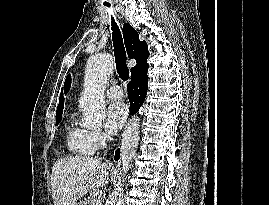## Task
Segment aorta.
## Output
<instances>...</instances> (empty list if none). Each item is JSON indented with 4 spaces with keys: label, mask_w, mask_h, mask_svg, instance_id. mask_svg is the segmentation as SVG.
Instances as JSON below:
<instances>
[{
    "label": "aorta",
    "mask_w": 269,
    "mask_h": 205,
    "mask_svg": "<svg viewBox=\"0 0 269 205\" xmlns=\"http://www.w3.org/2000/svg\"><path fill=\"white\" fill-rule=\"evenodd\" d=\"M114 60L109 54L91 56L87 62L84 78V91L79 100V107L88 128L99 127L106 118L104 103V89L110 74L113 71ZM138 118H132L124 130L121 143L122 173L125 175L136 154L139 143ZM124 182V180L122 181ZM121 181L115 185L110 194L108 205H122L124 184Z\"/></svg>",
    "instance_id": "aorta-1"
}]
</instances>
